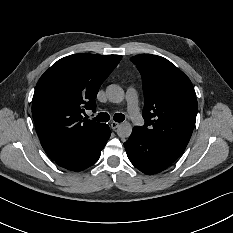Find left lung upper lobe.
<instances>
[{"mask_svg": "<svg viewBox=\"0 0 233 233\" xmlns=\"http://www.w3.org/2000/svg\"><path fill=\"white\" fill-rule=\"evenodd\" d=\"M142 76L144 127L136 126L153 141L185 150L198 110L189 78L167 59L151 54L131 58Z\"/></svg>", "mask_w": 233, "mask_h": 233, "instance_id": "5c2ea615", "label": "left lung upper lobe"}]
</instances>
